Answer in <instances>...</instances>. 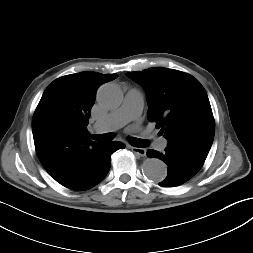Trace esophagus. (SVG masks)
<instances>
[{
    "label": "esophagus",
    "instance_id": "34e87169",
    "mask_svg": "<svg viewBox=\"0 0 253 253\" xmlns=\"http://www.w3.org/2000/svg\"><path fill=\"white\" fill-rule=\"evenodd\" d=\"M131 150H132L135 154H137V155H139V156H141V157H145V156H146V149H144V148L131 147Z\"/></svg>",
    "mask_w": 253,
    "mask_h": 253
}]
</instances>
